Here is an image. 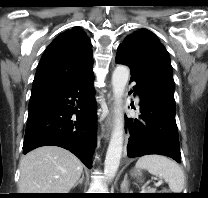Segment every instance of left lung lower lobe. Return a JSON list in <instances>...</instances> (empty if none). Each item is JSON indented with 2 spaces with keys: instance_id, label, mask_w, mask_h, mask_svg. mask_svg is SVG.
<instances>
[{
  "instance_id": "left-lung-lower-lobe-1",
  "label": "left lung lower lobe",
  "mask_w": 208,
  "mask_h": 198,
  "mask_svg": "<svg viewBox=\"0 0 208 198\" xmlns=\"http://www.w3.org/2000/svg\"><path fill=\"white\" fill-rule=\"evenodd\" d=\"M116 63L129 66L130 81L136 82L133 91L137 92L140 97L139 119L126 118L130 133L127 146L128 156L160 154L180 162L175 104L137 74L127 54L121 49L117 51Z\"/></svg>"
}]
</instances>
